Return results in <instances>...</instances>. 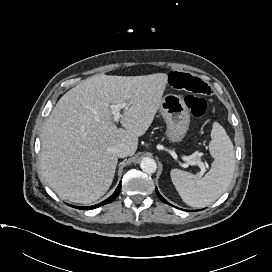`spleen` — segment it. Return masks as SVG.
I'll return each mask as SVG.
<instances>
[{
	"label": "spleen",
	"instance_id": "3e777b00",
	"mask_svg": "<svg viewBox=\"0 0 272 272\" xmlns=\"http://www.w3.org/2000/svg\"><path fill=\"white\" fill-rule=\"evenodd\" d=\"M209 151L214 161L204 177L179 169H172L170 173L182 200L191 207L200 208L215 202L226 191L234 175V146L218 122L213 123Z\"/></svg>",
	"mask_w": 272,
	"mask_h": 272
}]
</instances>
